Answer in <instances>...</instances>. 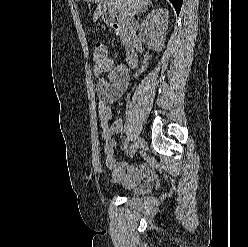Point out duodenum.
Returning <instances> with one entry per match:
<instances>
[{
	"label": "duodenum",
	"mask_w": 248,
	"mask_h": 247,
	"mask_svg": "<svg viewBox=\"0 0 248 247\" xmlns=\"http://www.w3.org/2000/svg\"><path fill=\"white\" fill-rule=\"evenodd\" d=\"M104 20L107 24L117 30L123 41L126 51L128 63L130 66H135L137 62V46L139 39L137 37V23L133 20H116L114 16L109 13L104 14Z\"/></svg>",
	"instance_id": "1"
}]
</instances>
